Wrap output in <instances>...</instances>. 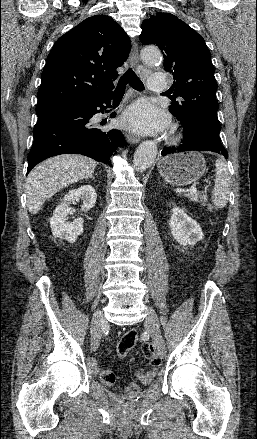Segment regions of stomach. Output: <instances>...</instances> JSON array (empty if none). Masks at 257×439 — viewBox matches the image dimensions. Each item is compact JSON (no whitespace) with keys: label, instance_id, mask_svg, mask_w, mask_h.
Returning a JSON list of instances; mask_svg holds the SVG:
<instances>
[{"label":"stomach","instance_id":"obj_1","mask_svg":"<svg viewBox=\"0 0 257 439\" xmlns=\"http://www.w3.org/2000/svg\"><path fill=\"white\" fill-rule=\"evenodd\" d=\"M158 170L164 180L174 186H185L198 180L206 170L203 155L196 151H185L159 160Z\"/></svg>","mask_w":257,"mask_h":439}]
</instances>
